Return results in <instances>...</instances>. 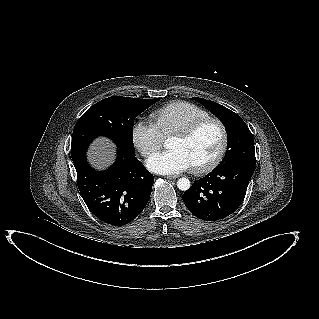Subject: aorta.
<instances>
[{"label": "aorta", "mask_w": 319, "mask_h": 319, "mask_svg": "<svg viewBox=\"0 0 319 319\" xmlns=\"http://www.w3.org/2000/svg\"><path fill=\"white\" fill-rule=\"evenodd\" d=\"M191 184L188 178H180L177 181V187L182 190V191H186L190 188Z\"/></svg>", "instance_id": "762f6f07"}]
</instances>
